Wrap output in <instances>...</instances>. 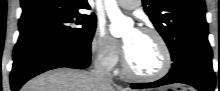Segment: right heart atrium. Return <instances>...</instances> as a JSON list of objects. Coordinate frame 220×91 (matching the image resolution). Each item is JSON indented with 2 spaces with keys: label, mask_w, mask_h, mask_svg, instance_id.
<instances>
[{
  "label": "right heart atrium",
  "mask_w": 220,
  "mask_h": 91,
  "mask_svg": "<svg viewBox=\"0 0 220 91\" xmlns=\"http://www.w3.org/2000/svg\"><path fill=\"white\" fill-rule=\"evenodd\" d=\"M89 48L96 61L106 69L114 68L120 58V48L107 29L98 25L90 39Z\"/></svg>",
  "instance_id": "d8ad5b80"
}]
</instances>
